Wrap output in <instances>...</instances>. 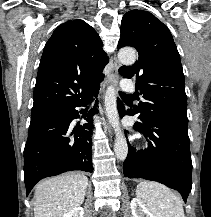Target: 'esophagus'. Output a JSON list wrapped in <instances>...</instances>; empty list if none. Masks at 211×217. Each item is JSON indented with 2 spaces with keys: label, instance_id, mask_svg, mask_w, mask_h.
<instances>
[{
  "label": "esophagus",
  "instance_id": "34e87169",
  "mask_svg": "<svg viewBox=\"0 0 211 217\" xmlns=\"http://www.w3.org/2000/svg\"><path fill=\"white\" fill-rule=\"evenodd\" d=\"M112 62H113V69L110 72V74L108 75V77L106 78V81L103 85V90H102L103 93H104L106 87L116 85L118 83V79H119L118 70H119V67L121 66V64L118 61L116 56H114L112 58ZM106 129H107L109 135L112 136V131H111V128L108 124H106Z\"/></svg>",
  "mask_w": 211,
  "mask_h": 217
}]
</instances>
